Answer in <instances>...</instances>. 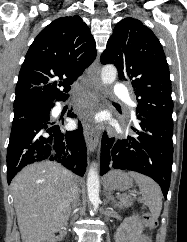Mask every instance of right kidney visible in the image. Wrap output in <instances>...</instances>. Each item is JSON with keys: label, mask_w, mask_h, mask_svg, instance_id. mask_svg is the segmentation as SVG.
Here are the masks:
<instances>
[{"label": "right kidney", "mask_w": 187, "mask_h": 242, "mask_svg": "<svg viewBox=\"0 0 187 242\" xmlns=\"http://www.w3.org/2000/svg\"><path fill=\"white\" fill-rule=\"evenodd\" d=\"M42 242H55V235H48Z\"/></svg>", "instance_id": "obj_1"}]
</instances>
